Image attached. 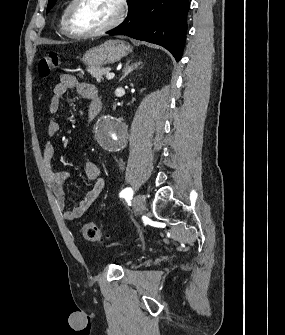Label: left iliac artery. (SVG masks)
I'll list each match as a JSON object with an SVG mask.
<instances>
[{"instance_id":"44dca946","label":"left iliac artery","mask_w":285,"mask_h":335,"mask_svg":"<svg viewBox=\"0 0 285 335\" xmlns=\"http://www.w3.org/2000/svg\"><path fill=\"white\" fill-rule=\"evenodd\" d=\"M133 194V190L131 188H125L124 190L121 191L120 197H127Z\"/></svg>"}]
</instances>
